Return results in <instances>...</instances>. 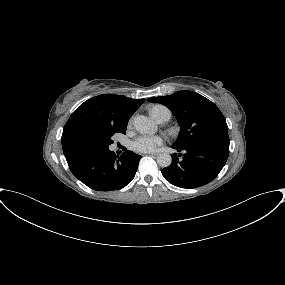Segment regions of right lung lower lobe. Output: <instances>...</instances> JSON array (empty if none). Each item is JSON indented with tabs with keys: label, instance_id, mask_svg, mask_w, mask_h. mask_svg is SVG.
I'll use <instances>...</instances> for the list:
<instances>
[{
	"label": "right lung lower lobe",
	"instance_id": "right-lung-lower-lobe-1",
	"mask_svg": "<svg viewBox=\"0 0 285 285\" xmlns=\"http://www.w3.org/2000/svg\"><path fill=\"white\" fill-rule=\"evenodd\" d=\"M140 158L132 151L117 158L108 148L91 146L75 151L66 160L73 175L91 189L113 191L132 181Z\"/></svg>",
	"mask_w": 285,
	"mask_h": 285
}]
</instances>
